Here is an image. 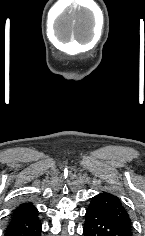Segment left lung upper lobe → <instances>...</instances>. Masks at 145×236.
I'll list each match as a JSON object with an SVG mask.
<instances>
[{
	"label": "left lung upper lobe",
	"mask_w": 145,
	"mask_h": 236,
	"mask_svg": "<svg viewBox=\"0 0 145 236\" xmlns=\"http://www.w3.org/2000/svg\"><path fill=\"white\" fill-rule=\"evenodd\" d=\"M89 208L109 216L130 232L132 231L131 219L118 197L106 192L100 193L92 198Z\"/></svg>",
	"instance_id": "left-lung-upper-lobe-1"
}]
</instances>
